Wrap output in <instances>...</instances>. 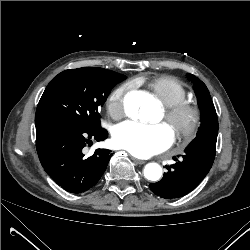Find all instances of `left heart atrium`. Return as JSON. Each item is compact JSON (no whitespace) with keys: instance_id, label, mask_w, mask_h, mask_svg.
<instances>
[{"instance_id":"39dd6f15","label":"left heart atrium","mask_w":250,"mask_h":250,"mask_svg":"<svg viewBox=\"0 0 250 250\" xmlns=\"http://www.w3.org/2000/svg\"><path fill=\"white\" fill-rule=\"evenodd\" d=\"M112 142L115 147L144 158L168 149L173 143V134L163 124L125 121L115 128Z\"/></svg>"}]
</instances>
